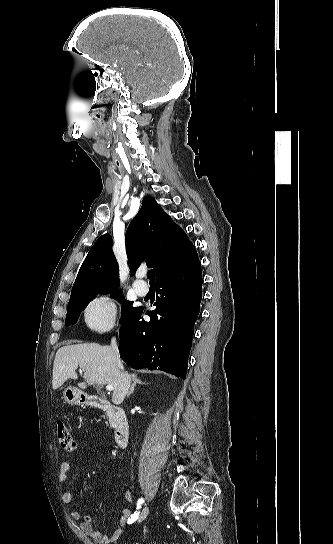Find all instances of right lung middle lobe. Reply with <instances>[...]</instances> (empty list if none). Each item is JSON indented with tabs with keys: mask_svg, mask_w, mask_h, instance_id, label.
<instances>
[{
	"mask_svg": "<svg viewBox=\"0 0 333 544\" xmlns=\"http://www.w3.org/2000/svg\"><path fill=\"white\" fill-rule=\"evenodd\" d=\"M99 294H109L110 296L122 303V313L123 318L120 323H123L128 319L138 308L132 307V302L125 301L123 293L121 290H105V291H91L85 294L75 296L69 300L67 315L65 319L66 326L76 323L82 310L86 308L88 303L93 300L95 295Z\"/></svg>",
	"mask_w": 333,
	"mask_h": 544,
	"instance_id": "1",
	"label": "right lung middle lobe"
}]
</instances>
